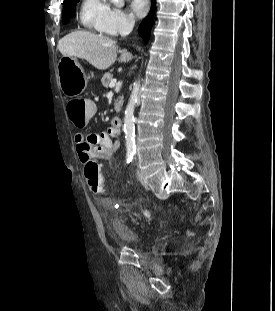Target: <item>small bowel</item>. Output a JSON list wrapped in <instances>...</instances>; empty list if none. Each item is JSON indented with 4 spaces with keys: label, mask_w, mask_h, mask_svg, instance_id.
<instances>
[{
    "label": "small bowel",
    "mask_w": 275,
    "mask_h": 311,
    "mask_svg": "<svg viewBox=\"0 0 275 311\" xmlns=\"http://www.w3.org/2000/svg\"><path fill=\"white\" fill-rule=\"evenodd\" d=\"M119 134L120 128L113 124L101 133L77 132L74 135V144L82 164L86 166L92 160L106 161L111 159L120 147Z\"/></svg>",
    "instance_id": "1"
}]
</instances>
